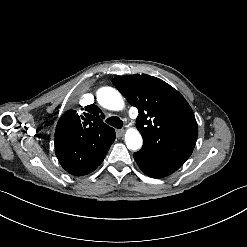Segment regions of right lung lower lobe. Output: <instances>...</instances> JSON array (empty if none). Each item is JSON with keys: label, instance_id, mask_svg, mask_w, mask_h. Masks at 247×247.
Wrapping results in <instances>:
<instances>
[{"label": "right lung lower lobe", "instance_id": "obj_1", "mask_svg": "<svg viewBox=\"0 0 247 247\" xmlns=\"http://www.w3.org/2000/svg\"><path fill=\"white\" fill-rule=\"evenodd\" d=\"M103 160L104 158L95 163L85 164L84 166H80V167L73 166L65 170L69 172L70 174H73L76 176L86 175L88 173L93 172L102 163Z\"/></svg>", "mask_w": 247, "mask_h": 247}]
</instances>
